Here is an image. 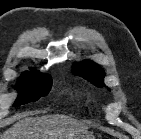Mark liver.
I'll list each match as a JSON object with an SVG mask.
<instances>
[{"instance_id": "6515ba94", "label": "liver", "mask_w": 141, "mask_h": 139, "mask_svg": "<svg viewBox=\"0 0 141 139\" xmlns=\"http://www.w3.org/2000/svg\"><path fill=\"white\" fill-rule=\"evenodd\" d=\"M30 115L21 114L0 139H78L87 133L85 124L67 115Z\"/></svg>"}]
</instances>
